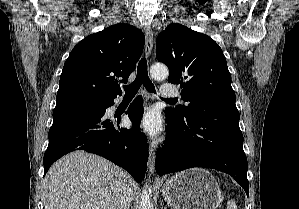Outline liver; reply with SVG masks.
<instances>
[{"label":"liver","instance_id":"obj_1","mask_svg":"<svg viewBox=\"0 0 299 209\" xmlns=\"http://www.w3.org/2000/svg\"><path fill=\"white\" fill-rule=\"evenodd\" d=\"M126 183L134 197L136 182L122 168L100 156L74 151L50 167L43 182L44 209H118Z\"/></svg>","mask_w":299,"mask_h":209}]
</instances>
